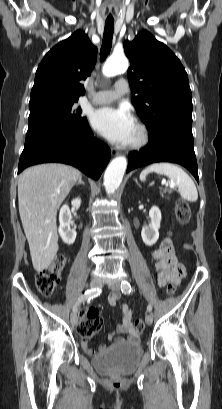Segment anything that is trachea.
<instances>
[{"label": "trachea", "instance_id": "1", "mask_svg": "<svg viewBox=\"0 0 222 409\" xmlns=\"http://www.w3.org/2000/svg\"><path fill=\"white\" fill-rule=\"evenodd\" d=\"M113 32H114V21H106L105 28H104V34H103L102 46L100 50L101 60H104L111 51Z\"/></svg>", "mask_w": 222, "mask_h": 409}]
</instances>
